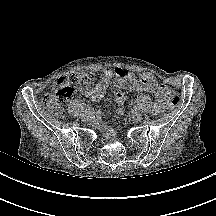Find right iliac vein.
<instances>
[{
	"label": "right iliac vein",
	"mask_w": 216,
	"mask_h": 216,
	"mask_svg": "<svg viewBox=\"0 0 216 216\" xmlns=\"http://www.w3.org/2000/svg\"><path fill=\"white\" fill-rule=\"evenodd\" d=\"M82 120H83L84 122L90 121V120H91V115H90V114H85V115H83Z\"/></svg>",
	"instance_id": "1"
}]
</instances>
